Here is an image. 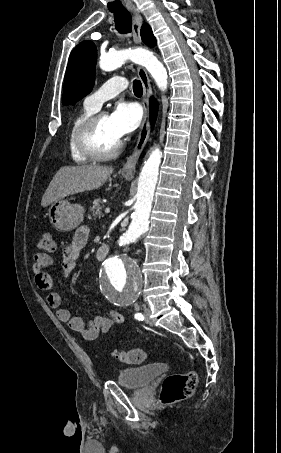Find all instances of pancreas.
<instances>
[{
	"mask_svg": "<svg viewBox=\"0 0 281 453\" xmlns=\"http://www.w3.org/2000/svg\"><path fill=\"white\" fill-rule=\"evenodd\" d=\"M104 204L102 198H95L92 206H89L88 218H101L104 216L103 210Z\"/></svg>",
	"mask_w": 281,
	"mask_h": 453,
	"instance_id": "cf45deb5",
	"label": "pancreas"
}]
</instances>
